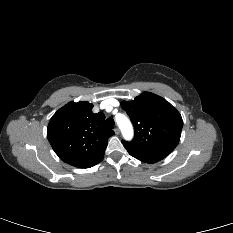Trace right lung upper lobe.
<instances>
[{
	"instance_id": "cb5924a9",
	"label": "right lung upper lobe",
	"mask_w": 233,
	"mask_h": 233,
	"mask_svg": "<svg viewBox=\"0 0 233 233\" xmlns=\"http://www.w3.org/2000/svg\"><path fill=\"white\" fill-rule=\"evenodd\" d=\"M89 102H69L50 119L48 140L61 160L78 167L89 168L104 156L108 137L113 130L105 127V115L92 112Z\"/></svg>"
}]
</instances>
